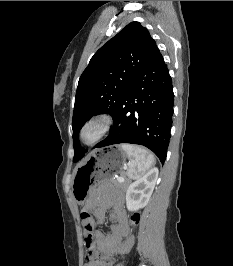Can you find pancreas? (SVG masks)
<instances>
[{
  "instance_id": "1",
  "label": "pancreas",
  "mask_w": 233,
  "mask_h": 266,
  "mask_svg": "<svg viewBox=\"0 0 233 266\" xmlns=\"http://www.w3.org/2000/svg\"><path fill=\"white\" fill-rule=\"evenodd\" d=\"M113 182L115 185H118L120 187H126L128 184V181L119 182L118 180H115V179L113 180Z\"/></svg>"
}]
</instances>
